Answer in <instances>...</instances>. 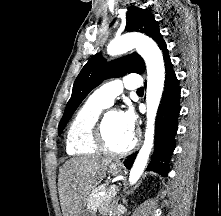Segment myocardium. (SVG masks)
<instances>
[{"label": "myocardium", "mask_w": 221, "mask_h": 216, "mask_svg": "<svg viewBox=\"0 0 221 216\" xmlns=\"http://www.w3.org/2000/svg\"><path fill=\"white\" fill-rule=\"evenodd\" d=\"M112 112H117V111L109 110L100 116V119L95 129V142L97 146L99 147V149L104 152H107L115 156L124 155V154L131 152L137 146L138 138L132 137L131 142L127 146L123 148H119V149L114 148L111 145H109L107 138H106L105 125H106L107 116Z\"/></svg>", "instance_id": "obj_1"}]
</instances>
